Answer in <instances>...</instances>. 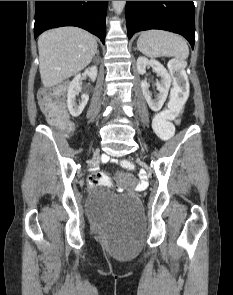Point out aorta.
I'll return each mask as SVG.
<instances>
[{
    "mask_svg": "<svg viewBox=\"0 0 233 295\" xmlns=\"http://www.w3.org/2000/svg\"><path fill=\"white\" fill-rule=\"evenodd\" d=\"M126 1H112L113 9L116 14H120L124 7H125Z\"/></svg>",
    "mask_w": 233,
    "mask_h": 295,
    "instance_id": "762f6f07",
    "label": "aorta"
}]
</instances>
